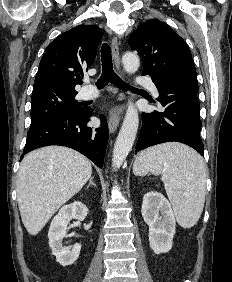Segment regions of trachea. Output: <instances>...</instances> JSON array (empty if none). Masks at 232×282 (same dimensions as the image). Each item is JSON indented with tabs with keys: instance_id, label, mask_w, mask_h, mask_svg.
I'll use <instances>...</instances> for the list:
<instances>
[{
	"instance_id": "3493384b",
	"label": "trachea",
	"mask_w": 232,
	"mask_h": 282,
	"mask_svg": "<svg viewBox=\"0 0 232 282\" xmlns=\"http://www.w3.org/2000/svg\"><path fill=\"white\" fill-rule=\"evenodd\" d=\"M101 62H102V74L96 83L98 89L104 88L109 82L122 90L134 89L129 84L124 82L114 72L112 56H111V48L107 43H104L101 47Z\"/></svg>"
}]
</instances>
